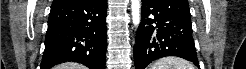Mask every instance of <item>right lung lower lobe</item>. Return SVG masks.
Here are the masks:
<instances>
[{
    "instance_id": "98d812e1",
    "label": "right lung lower lobe",
    "mask_w": 246,
    "mask_h": 69,
    "mask_svg": "<svg viewBox=\"0 0 246 69\" xmlns=\"http://www.w3.org/2000/svg\"><path fill=\"white\" fill-rule=\"evenodd\" d=\"M107 0L53 3L41 69L74 61L105 69Z\"/></svg>"
}]
</instances>
